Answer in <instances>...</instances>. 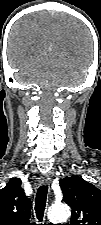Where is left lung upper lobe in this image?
<instances>
[{"mask_svg": "<svg viewBox=\"0 0 101 225\" xmlns=\"http://www.w3.org/2000/svg\"><path fill=\"white\" fill-rule=\"evenodd\" d=\"M63 201L72 209L68 225H101V191L78 176L60 181Z\"/></svg>", "mask_w": 101, "mask_h": 225, "instance_id": "5c2ea615", "label": "left lung upper lobe"}]
</instances>
